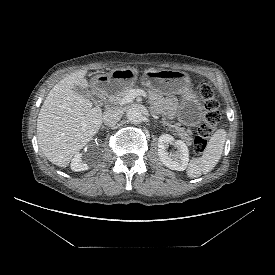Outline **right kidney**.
<instances>
[{"label":"right kidney","instance_id":"obj_1","mask_svg":"<svg viewBox=\"0 0 275 275\" xmlns=\"http://www.w3.org/2000/svg\"><path fill=\"white\" fill-rule=\"evenodd\" d=\"M71 169L73 171H84L88 169V165L83 162L82 160V154L81 153H77L74 155L72 162H71Z\"/></svg>","mask_w":275,"mask_h":275}]
</instances>
